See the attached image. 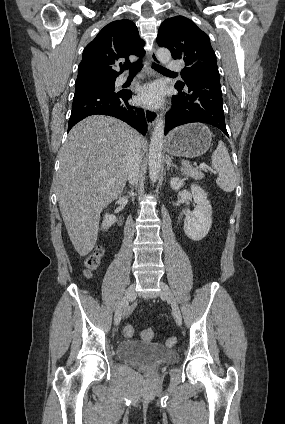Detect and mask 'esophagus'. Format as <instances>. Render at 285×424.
Instances as JSON below:
<instances>
[{
  "instance_id": "obj_1",
  "label": "esophagus",
  "mask_w": 285,
  "mask_h": 424,
  "mask_svg": "<svg viewBox=\"0 0 285 424\" xmlns=\"http://www.w3.org/2000/svg\"><path fill=\"white\" fill-rule=\"evenodd\" d=\"M150 60H151V63L153 64H159V59L156 55L155 50L150 51ZM144 114H145V119L147 121L148 126L150 128L153 127L158 118L157 112L151 109H144Z\"/></svg>"
}]
</instances>
